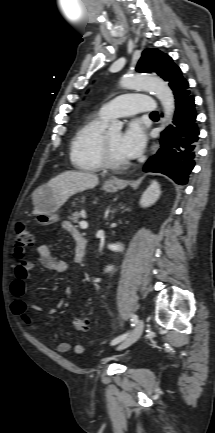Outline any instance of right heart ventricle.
<instances>
[{
  "mask_svg": "<svg viewBox=\"0 0 215 433\" xmlns=\"http://www.w3.org/2000/svg\"><path fill=\"white\" fill-rule=\"evenodd\" d=\"M107 121L108 118L98 112L89 116L76 131L70 149V158L76 168L99 171L104 167L101 159V140Z\"/></svg>",
  "mask_w": 215,
  "mask_h": 433,
  "instance_id": "obj_1",
  "label": "right heart ventricle"
}]
</instances>
